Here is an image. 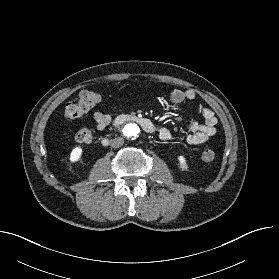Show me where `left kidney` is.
<instances>
[{
    "label": "left kidney",
    "instance_id": "obj_1",
    "mask_svg": "<svg viewBox=\"0 0 279 279\" xmlns=\"http://www.w3.org/2000/svg\"><path fill=\"white\" fill-rule=\"evenodd\" d=\"M178 161L182 170H188L186 159L183 156H178Z\"/></svg>",
    "mask_w": 279,
    "mask_h": 279
}]
</instances>
